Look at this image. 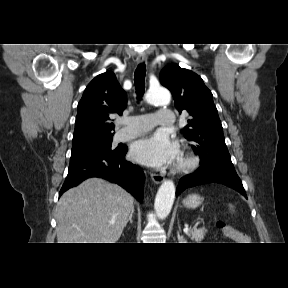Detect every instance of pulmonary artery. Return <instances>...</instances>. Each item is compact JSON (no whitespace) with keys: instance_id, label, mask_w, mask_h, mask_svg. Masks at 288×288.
<instances>
[{"instance_id":"obj_1","label":"pulmonary artery","mask_w":288,"mask_h":288,"mask_svg":"<svg viewBox=\"0 0 288 288\" xmlns=\"http://www.w3.org/2000/svg\"><path fill=\"white\" fill-rule=\"evenodd\" d=\"M126 126L115 134V141H124L150 131L156 125L170 126L174 114L170 109H159L156 114H140L128 118Z\"/></svg>"}]
</instances>
